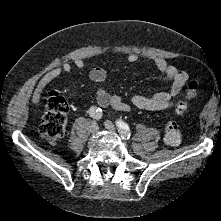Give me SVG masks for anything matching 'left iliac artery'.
<instances>
[{
    "label": "left iliac artery",
    "instance_id": "left-iliac-artery-1",
    "mask_svg": "<svg viewBox=\"0 0 221 221\" xmlns=\"http://www.w3.org/2000/svg\"><path fill=\"white\" fill-rule=\"evenodd\" d=\"M116 125L119 128V132H120L121 137L123 139H129L131 137L129 126L127 125V123H125V122H123L121 120H118L116 122Z\"/></svg>",
    "mask_w": 221,
    "mask_h": 221
}]
</instances>
